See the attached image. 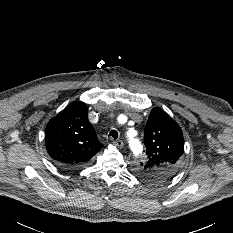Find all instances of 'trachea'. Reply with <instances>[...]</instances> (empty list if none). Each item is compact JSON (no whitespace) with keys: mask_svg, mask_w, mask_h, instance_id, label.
Returning a JSON list of instances; mask_svg holds the SVG:
<instances>
[{"mask_svg":"<svg viewBox=\"0 0 233 233\" xmlns=\"http://www.w3.org/2000/svg\"><path fill=\"white\" fill-rule=\"evenodd\" d=\"M109 136H111L114 140H116L118 137V132L116 130H111Z\"/></svg>","mask_w":233,"mask_h":233,"instance_id":"trachea-1","label":"trachea"}]
</instances>
